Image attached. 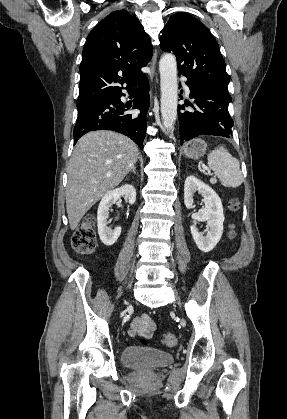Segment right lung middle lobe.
Segmentation results:
<instances>
[{"mask_svg": "<svg viewBox=\"0 0 287 419\" xmlns=\"http://www.w3.org/2000/svg\"><path fill=\"white\" fill-rule=\"evenodd\" d=\"M96 104V103H95ZM94 105V104H92ZM92 105H87V106H77L78 108V115L83 113L85 110H87L89 107H91Z\"/></svg>", "mask_w": 287, "mask_h": 419, "instance_id": "right-lung-middle-lobe-1", "label": "right lung middle lobe"}]
</instances>
